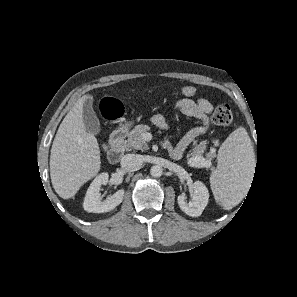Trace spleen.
Segmentation results:
<instances>
[{
  "mask_svg": "<svg viewBox=\"0 0 297 297\" xmlns=\"http://www.w3.org/2000/svg\"><path fill=\"white\" fill-rule=\"evenodd\" d=\"M255 154L247 131L232 132L218 151V165L210 176L211 189L221 204L237 203L250 184Z\"/></svg>",
  "mask_w": 297,
  "mask_h": 297,
  "instance_id": "3e777b00",
  "label": "spleen"
}]
</instances>
